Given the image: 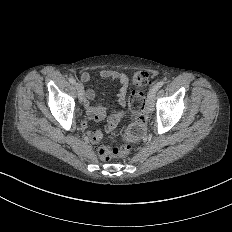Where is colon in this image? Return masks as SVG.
Segmentation results:
<instances>
[{
	"instance_id": "colon-1",
	"label": "colon",
	"mask_w": 232,
	"mask_h": 232,
	"mask_svg": "<svg viewBox=\"0 0 232 232\" xmlns=\"http://www.w3.org/2000/svg\"><path fill=\"white\" fill-rule=\"evenodd\" d=\"M133 75L136 76V85L133 88L134 97L131 100L132 108L135 111H140L145 103L142 96L146 93L145 86H151L149 81L150 71H134ZM144 135V127L138 122H131L125 128V137L130 143H139L142 141ZM132 149L128 145L120 146L118 148H102L99 150L98 155L100 158L105 159H119L130 155Z\"/></svg>"
}]
</instances>
